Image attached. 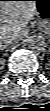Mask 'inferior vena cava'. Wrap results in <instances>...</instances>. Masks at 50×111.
<instances>
[{
	"instance_id": "obj_1",
	"label": "inferior vena cava",
	"mask_w": 50,
	"mask_h": 111,
	"mask_svg": "<svg viewBox=\"0 0 50 111\" xmlns=\"http://www.w3.org/2000/svg\"><path fill=\"white\" fill-rule=\"evenodd\" d=\"M20 35H4L2 37V42L6 45H13L20 40Z\"/></svg>"
}]
</instances>
